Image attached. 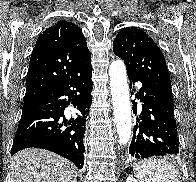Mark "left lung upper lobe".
Segmentation results:
<instances>
[{
  "mask_svg": "<svg viewBox=\"0 0 196 182\" xmlns=\"http://www.w3.org/2000/svg\"><path fill=\"white\" fill-rule=\"evenodd\" d=\"M114 54L124 60L129 72L139 75L173 103L170 75L164 55L143 30L122 28L113 42Z\"/></svg>",
  "mask_w": 196,
  "mask_h": 182,
  "instance_id": "obj_1",
  "label": "left lung upper lobe"
}]
</instances>
